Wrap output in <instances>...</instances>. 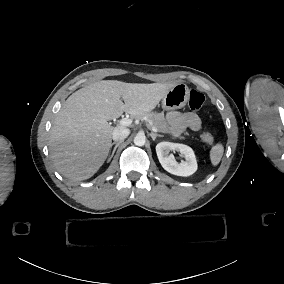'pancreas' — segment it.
<instances>
[{
  "label": "pancreas",
  "mask_w": 284,
  "mask_h": 284,
  "mask_svg": "<svg viewBox=\"0 0 284 284\" xmlns=\"http://www.w3.org/2000/svg\"><path fill=\"white\" fill-rule=\"evenodd\" d=\"M142 116H145L147 118L148 129L150 130L157 129L161 133L170 134L172 127L169 126V124L167 123L165 114L149 113ZM174 137L178 139H185L184 136L178 134L174 135Z\"/></svg>",
  "instance_id": "1"
}]
</instances>
